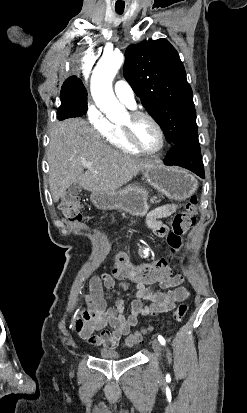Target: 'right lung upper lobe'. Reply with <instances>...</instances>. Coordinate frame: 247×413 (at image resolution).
<instances>
[{
	"mask_svg": "<svg viewBox=\"0 0 247 413\" xmlns=\"http://www.w3.org/2000/svg\"><path fill=\"white\" fill-rule=\"evenodd\" d=\"M67 80H80V79L77 78L76 76H72V77L68 78Z\"/></svg>",
	"mask_w": 247,
	"mask_h": 413,
	"instance_id": "obj_1",
	"label": "right lung upper lobe"
}]
</instances>
